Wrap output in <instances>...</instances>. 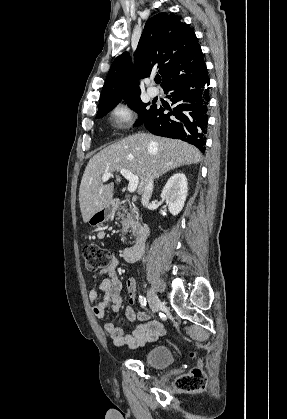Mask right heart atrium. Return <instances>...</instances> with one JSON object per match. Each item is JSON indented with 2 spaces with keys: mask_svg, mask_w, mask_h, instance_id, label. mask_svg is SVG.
Returning <instances> with one entry per match:
<instances>
[{
  "mask_svg": "<svg viewBox=\"0 0 287 419\" xmlns=\"http://www.w3.org/2000/svg\"><path fill=\"white\" fill-rule=\"evenodd\" d=\"M134 114L132 109L125 103L116 105L110 111L111 125L116 131H122L133 122Z\"/></svg>",
  "mask_w": 287,
  "mask_h": 419,
  "instance_id": "obj_1",
  "label": "right heart atrium"
}]
</instances>
